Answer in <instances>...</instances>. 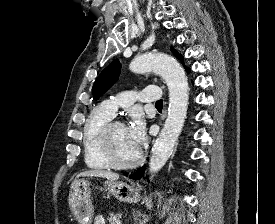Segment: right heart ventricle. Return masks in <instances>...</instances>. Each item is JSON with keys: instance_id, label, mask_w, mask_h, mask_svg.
<instances>
[{"instance_id": "right-heart-ventricle-1", "label": "right heart ventricle", "mask_w": 275, "mask_h": 224, "mask_svg": "<svg viewBox=\"0 0 275 224\" xmlns=\"http://www.w3.org/2000/svg\"><path fill=\"white\" fill-rule=\"evenodd\" d=\"M112 118L110 114L98 107L87 118L83 128L84 160L90 169H109L110 165L104 159L98 145V134L102 126Z\"/></svg>"}]
</instances>
